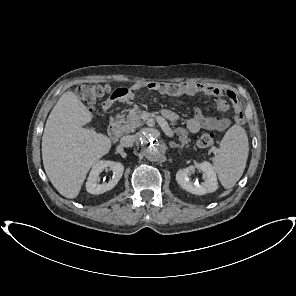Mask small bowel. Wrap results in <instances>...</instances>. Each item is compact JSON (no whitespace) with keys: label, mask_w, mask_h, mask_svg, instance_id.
<instances>
[{"label":"small bowel","mask_w":296,"mask_h":296,"mask_svg":"<svg viewBox=\"0 0 296 296\" xmlns=\"http://www.w3.org/2000/svg\"><path fill=\"white\" fill-rule=\"evenodd\" d=\"M147 88L150 90L158 91L161 94L180 97V96H195L202 94L205 96L213 97L215 100L216 108L221 112L233 111V120L236 123L243 122V113L241 106L238 102L234 91L228 88L215 87L211 85L184 82V83H161V82H147L134 83L129 89H125L124 94H112L104 103L105 109L110 108L116 102H128L135 98L137 91ZM163 116L169 121L175 122L177 114L169 109L163 111ZM232 124V119L229 117H208L204 116L201 111H198L193 117L189 118L186 122V127L190 133H197L201 129L215 130L224 132Z\"/></svg>","instance_id":"small-bowel-1"}]
</instances>
